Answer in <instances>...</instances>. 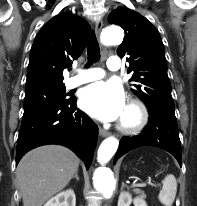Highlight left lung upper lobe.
<instances>
[{
  "mask_svg": "<svg viewBox=\"0 0 197 206\" xmlns=\"http://www.w3.org/2000/svg\"><path fill=\"white\" fill-rule=\"evenodd\" d=\"M108 21L125 31L117 54L121 58L128 56V73L134 72L130 79L134 87L132 91L145 103L148 111L174 113L167 61L158 30L145 17L126 7L113 10Z\"/></svg>",
  "mask_w": 197,
  "mask_h": 206,
  "instance_id": "1",
  "label": "left lung upper lobe"
}]
</instances>
